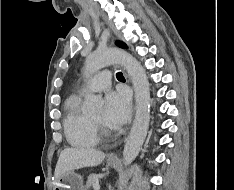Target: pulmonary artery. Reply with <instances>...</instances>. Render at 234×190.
<instances>
[{
    "instance_id": "1",
    "label": "pulmonary artery",
    "mask_w": 234,
    "mask_h": 190,
    "mask_svg": "<svg viewBox=\"0 0 234 190\" xmlns=\"http://www.w3.org/2000/svg\"><path fill=\"white\" fill-rule=\"evenodd\" d=\"M110 84V75L107 72H103L93 78L90 83V89L92 91H101L108 88Z\"/></svg>"
}]
</instances>
